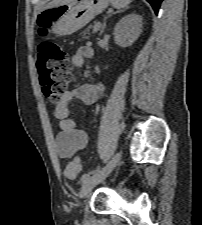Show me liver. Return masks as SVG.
Returning <instances> with one entry per match:
<instances>
[{"label":"liver","mask_w":202,"mask_h":225,"mask_svg":"<svg viewBox=\"0 0 202 225\" xmlns=\"http://www.w3.org/2000/svg\"><path fill=\"white\" fill-rule=\"evenodd\" d=\"M73 2H75V0H52L50 3L46 5L45 8L47 9V8L57 7L60 5L71 4Z\"/></svg>","instance_id":"liver-1"}]
</instances>
